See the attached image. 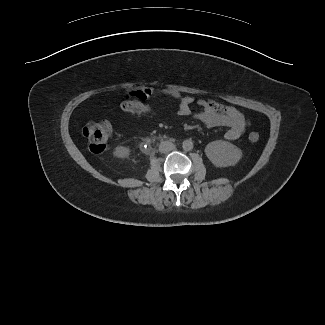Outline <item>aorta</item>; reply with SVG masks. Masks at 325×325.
Wrapping results in <instances>:
<instances>
[{
    "mask_svg": "<svg viewBox=\"0 0 325 325\" xmlns=\"http://www.w3.org/2000/svg\"><path fill=\"white\" fill-rule=\"evenodd\" d=\"M182 148L185 151H190L193 149V142L191 140H185L182 143Z\"/></svg>",
    "mask_w": 325,
    "mask_h": 325,
    "instance_id": "aorta-1",
    "label": "aorta"
}]
</instances>
